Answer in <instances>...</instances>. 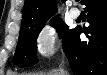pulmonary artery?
<instances>
[{
  "instance_id": "obj_1",
  "label": "pulmonary artery",
  "mask_w": 107,
  "mask_h": 75,
  "mask_svg": "<svg viewBox=\"0 0 107 75\" xmlns=\"http://www.w3.org/2000/svg\"><path fill=\"white\" fill-rule=\"evenodd\" d=\"M70 15L72 18H77L80 15V11L77 8H71L70 9Z\"/></svg>"
}]
</instances>
